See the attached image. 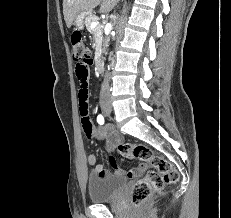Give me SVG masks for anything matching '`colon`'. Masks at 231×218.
Instances as JSON below:
<instances>
[{"label": "colon", "mask_w": 231, "mask_h": 218, "mask_svg": "<svg viewBox=\"0 0 231 218\" xmlns=\"http://www.w3.org/2000/svg\"><path fill=\"white\" fill-rule=\"evenodd\" d=\"M71 45L74 60L79 61V63L82 60H91L90 49L85 44L80 32L72 33ZM118 152L125 158L138 159L154 169L133 186L131 202L135 206H139L151 194L160 191L165 185L174 184L179 179V174L172 163L155 154L146 145L123 143L118 146Z\"/></svg>", "instance_id": "1"}]
</instances>
